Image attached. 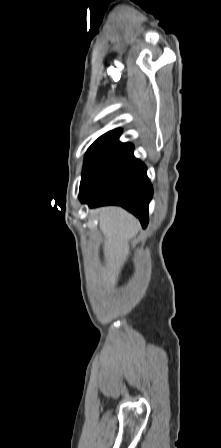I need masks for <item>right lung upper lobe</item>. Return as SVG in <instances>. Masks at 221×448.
<instances>
[{
  "instance_id": "1",
  "label": "right lung upper lobe",
  "mask_w": 221,
  "mask_h": 448,
  "mask_svg": "<svg viewBox=\"0 0 221 448\" xmlns=\"http://www.w3.org/2000/svg\"><path fill=\"white\" fill-rule=\"evenodd\" d=\"M120 129H114L99 137L90 148H111L116 149L124 143L119 142Z\"/></svg>"
}]
</instances>
